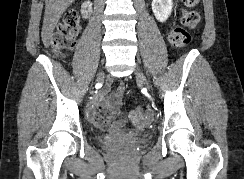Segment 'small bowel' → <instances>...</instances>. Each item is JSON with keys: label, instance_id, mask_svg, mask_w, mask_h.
<instances>
[{"label": "small bowel", "instance_id": "obj_1", "mask_svg": "<svg viewBox=\"0 0 244 179\" xmlns=\"http://www.w3.org/2000/svg\"><path fill=\"white\" fill-rule=\"evenodd\" d=\"M125 91L124 83L118 85L117 91L111 93L109 96L101 97L97 103V107L102 116L96 115L95 111H90V116L94 120L95 124L106 130L124 128L128 122L127 117L123 116L116 119L117 115H114V110H120L122 95ZM132 116H143L142 114H132ZM143 121H154V116H143ZM142 128L143 126H136Z\"/></svg>", "mask_w": 244, "mask_h": 179}]
</instances>
